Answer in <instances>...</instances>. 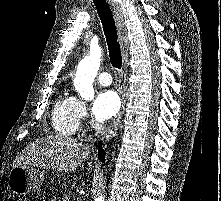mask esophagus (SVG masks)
I'll return each instance as SVG.
<instances>
[{"label": "esophagus", "mask_w": 221, "mask_h": 201, "mask_svg": "<svg viewBox=\"0 0 221 201\" xmlns=\"http://www.w3.org/2000/svg\"><path fill=\"white\" fill-rule=\"evenodd\" d=\"M116 20L118 33H119V41L121 45V50L123 54V64L120 74V86H119V93L121 97V108L118 112L117 116L113 120L110 127L106 130L103 140L105 142H109L116 134L118 130V126L120 123V120L124 114L125 111V105H126V97H125V85L127 81V63H128V40H127V29L125 27L124 21H123V15L121 13V10L119 8V5L115 2V0H107Z\"/></svg>", "instance_id": "obj_1"}]
</instances>
